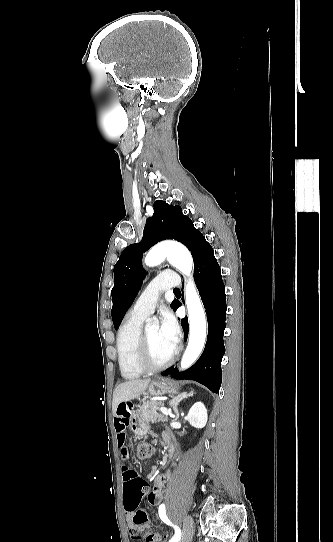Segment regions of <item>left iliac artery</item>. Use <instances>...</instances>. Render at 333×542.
I'll list each match as a JSON object with an SVG mask.
<instances>
[{
  "instance_id": "1",
  "label": "left iliac artery",
  "mask_w": 333,
  "mask_h": 542,
  "mask_svg": "<svg viewBox=\"0 0 333 542\" xmlns=\"http://www.w3.org/2000/svg\"><path fill=\"white\" fill-rule=\"evenodd\" d=\"M159 516L166 524L173 526L175 529V535L169 542H178L181 538V530L176 525L174 526L167 518L164 504L160 505L159 507Z\"/></svg>"
}]
</instances>
